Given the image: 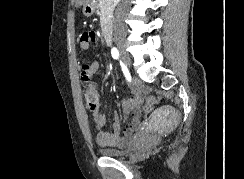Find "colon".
Listing matches in <instances>:
<instances>
[{
    "mask_svg": "<svg viewBox=\"0 0 244 179\" xmlns=\"http://www.w3.org/2000/svg\"><path fill=\"white\" fill-rule=\"evenodd\" d=\"M98 90L95 84L90 83L84 88V98L91 111H95L98 107ZM160 100L159 96H146L147 104L144 105L145 109L151 108L153 104H157ZM141 116H148V111H141Z\"/></svg>",
    "mask_w": 244,
    "mask_h": 179,
    "instance_id": "colon-1",
    "label": "colon"
}]
</instances>
